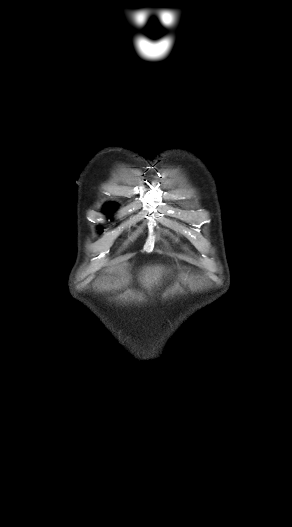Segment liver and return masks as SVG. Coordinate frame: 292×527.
<instances>
[{"label": "liver", "mask_w": 292, "mask_h": 527, "mask_svg": "<svg viewBox=\"0 0 292 527\" xmlns=\"http://www.w3.org/2000/svg\"><path fill=\"white\" fill-rule=\"evenodd\" d=\"M164 268L161 266L147 267L143 270L142 281L145 286L151 287L154 283H157L162 277Z\"/></svg>", "instance_id": "liver-1"}]
</instances>
